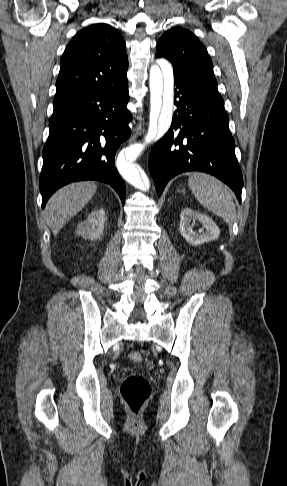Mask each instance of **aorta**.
<instances>
[{
  "instance_id": "aorta-1",
  "label": "aorta",
  "mask_w": 287,
  "mask_h": 486,
  "mask_svg": "<svg viewBox=\"0 0 287 486\" xmlns=\"http://www.w3.org/2000/svg\"><path fill=\"white\" fill-rule=\"evenodd\" d=\"M150 121L143 143H135L125 151V159L118 161L121 176L135 188L144 190L140 169L134 160L145 146L163 137L169 130L173 116V68L169 61L159 60L150 69Z\"/></svg>"
}]
</instances>
